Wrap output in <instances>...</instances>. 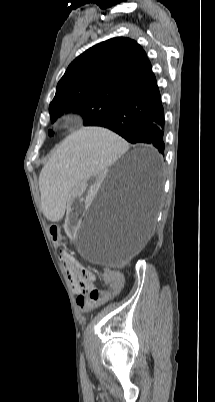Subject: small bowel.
I'll return each mask as SVG.
<instances>
[{
    "label": "small bowel",
    "mask_w": 215,
    "mask_h": 402,
    "mask_svg": "<svg viewBox=\"0 0 215 402\" xmlns=\"http://www.w3.org/2000/svg\"><path fill=\"white\" fill-rule=\"evenodd\" d=\"M70 279L72 281L75 293L80 296H83L87 294L90 290L94 289V285L92 282L94 277L92 274H90L88 277H82L72 273L70 275Z\"/></svg>",
    "instance_id": "1"
}]
</instances>
